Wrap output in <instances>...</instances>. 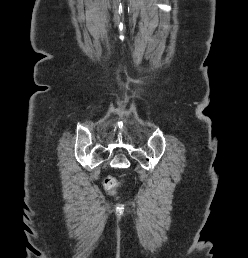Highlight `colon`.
<instances>
[{
    "label": "colon",
    "mask_w": 248,
    "mask_h": 258,
    "mask_svg": "<svg viewBox=\"0 0 248 258\" xmlns=\"http://www.w3.org/2000/svg\"><path fill=\"white\" fill-rule=\"evenodd\" d=\"M116 185H117V180L113 177H107L104 180V187L109 193L114 192V188L116 187Z\"/></svg>",
    "instance_id": "obj_1"
}]
</instances>
